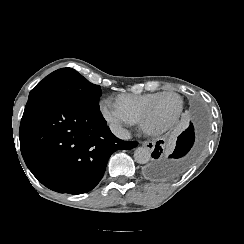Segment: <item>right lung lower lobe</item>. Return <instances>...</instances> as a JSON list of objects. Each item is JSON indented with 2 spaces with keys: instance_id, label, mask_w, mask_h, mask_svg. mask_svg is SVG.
Masks as SVG:
<instances>
[{
  "instance_id": "right-lung-lower-lobe-1",
  "label": "right lung lower lobe",
  "mask_w": 244,
  "mask_h": 244,
  "mask_svg": "<svg viewBox=\"0 0 244 244\" xmlns=\"http://www.w3.org/2000/svg\"><path fill=\"white\" fill-rule=\"evenodd\" d=\"M19 138L32 174L49 189L70 194L92 190L112 153L138 145L115 137L99 109L52 98L28 100Z\"/></svg>"
}]
</instances>
